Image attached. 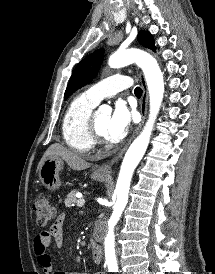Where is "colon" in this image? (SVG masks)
Masks as SVG:
<instances>
[{"mask_svg":"<svg viewBox=\"0 0 215 274\" xmlns=\"http://www.w3.org/2000/svg\"><path fill=\"white\" fill-rule=\"evenodd\" d=\"M33 209L35 212V222L39 227L46 226L54 219V206L46 196H38L34 201Z\"/></svg>","mask_w":215,"mask_h":274,"instance_id":"5ec220e1","label":"colon"}]
</instances>
